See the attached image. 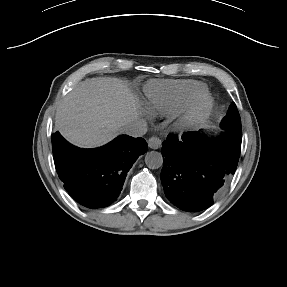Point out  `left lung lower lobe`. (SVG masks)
<instances>
[{
  "label": "left lung lower lobe",
  "instance_id": "0a47b994",
  "mask_svg": "<svg viewBox=\"0 0 287 287\" xmlns=\"http://www.w3.org/2000/svg\"><path fill=\"white\" fill-rule=\"evenodd\" d=\"M224 129L218 140L195 131L182 139L169 135L162 143L161 182L175 206L189 212L206 209L229 182L238 164L242 131L239 127Z\"/></svg>",
  "mask_w": 287,
  "mask_h": 287
}]
</instances>
